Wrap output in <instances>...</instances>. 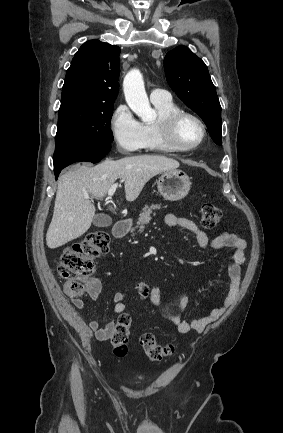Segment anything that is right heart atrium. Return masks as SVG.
<instances>
[{
  "label": "right heart atrium",
  "mask_w": 283,
  "mask_h": 433,
  "mask_svg": "<svg viewBox=\"0 0 283 433\" xmlns=\"http://www.w3.org/2000/svg\"><path fill=\"white\" fill-rule=\"evenodd\" d=\"M108 125L113 145L121 155L138 153L141 145L148 144L142 124L127 105L114 107Z\"/></svg>",
  "instance_id": "right-heart-atrium-1"
}]
</instances>
